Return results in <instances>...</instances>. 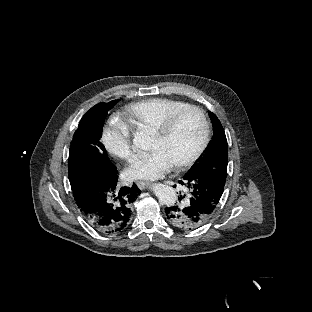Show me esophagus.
<instances>
[{
	"label": "esophagus",
	"instance_id": "34e87169",
	"mask_svg": "<svg viewBox=\"0 0 312 312\" xmlns=\"http://www.w3.org/2000/svg\"><path fill=\"white\" fill-rule=\"evenodd\" d=\"M150 185H151V183L148 182V181H138V182H137V186H138L141 190H144V189L148 188Z\"/></svg>",
	"mask_w": 312,
	"mask_h": 312
}]
</instances>
